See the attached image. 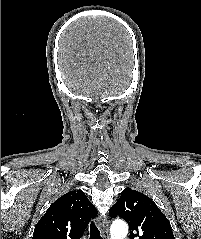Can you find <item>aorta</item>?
Masks as SVG:
<instances>
[{
  "mask_svg": "<svg viewBox=\"0 0 201 239\" xmlns=\"http://www.w3.org/2000/svg\"><path fill=\"white\" fill-rule=\"evenodd\" d=\"M128 234V225L123 220H115L110 227L111 239H125Z\"/></svg>",
  "mask_w": 201,
  "mask_h": 239,
  "instance_id": "aorta-1",
  "label": "aorta"
}]
</instances>
